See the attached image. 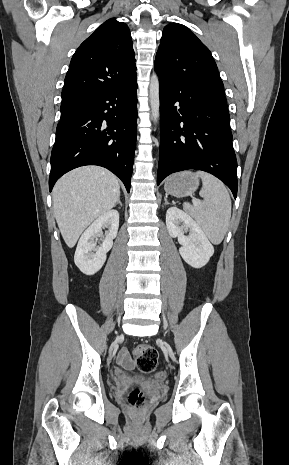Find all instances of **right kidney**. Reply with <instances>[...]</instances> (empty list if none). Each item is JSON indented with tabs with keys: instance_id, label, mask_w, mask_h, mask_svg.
<instances>
[{
	"instance_id": "ca27d5eb",
	"label": "right kidney",
	"mask_w": 289,
	"mask_h": 465,
	"mask_svg": "<svg viewBox=\"0 0 289 465\" xmlns=\"http://www.w3.org/2000/svg\"><path fill=\"white\" fill-rule=\"evenodd\" d=\"M108 232L103 243L96 247L95 238L100 235L102 228ZM119 228V213L109 210L101 214L82 234L74 255V262L80 271L86 275L98 272L106 261V254L113 246V239Z\"/></svg>"
}]
</instances>
